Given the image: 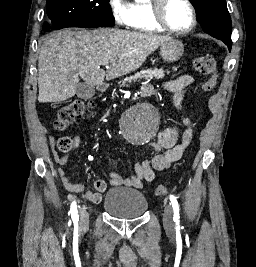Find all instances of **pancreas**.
Here are the masks:
<instances>
[{
  "instance_id": "cf45deb5",
  "label": "pancreas",
  "mask_w": 256,
  "mask_h": 267,
  "mask_svg": "<svg viewBox=\"0 0 256 267\" xmlns=\"http://www.w3.org/2000/svg\"><path fill=\"white\" fill-rule=\"evenodd\" d=\"M173 70H177V68H173ZM167 74H170V72H167ZM163 76H165L164 70H157V68H154V70H147L146 74H135L132 78L124 80L122 86H126L127 82L137 80V78H163Z\"/></svg>"
}]
</instances>
